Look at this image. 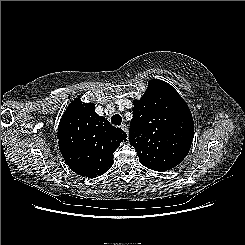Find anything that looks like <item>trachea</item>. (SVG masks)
Instances as JSON below:
<instances>
[{"label": "trachea", "instance_id": "trachea-1", "mask_svg": "<svg viewBox=\"0 0 245 245\" xmlns=\"http://www.w3.org/2000/svg\"><path fill=\"white\" fill-rule=\"evenodd\" d=\"M111 122L114 124V125H120L121 122H122V117L119 115V114H115L111 117Z\"/></svg>", "mask_w": 245, "mask_h": 245}]
</instances>
